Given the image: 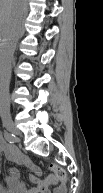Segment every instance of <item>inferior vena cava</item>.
Segmentation results:
<instances>
[{"label":"inferior vena cava","instance_id":"1","mask_svg":"<svg viewBox=\"0 0 103 193\" xmlns=\"http://www.w3.org/2000/svg\"><path fill=\"white\" fill-rule=\"evenodd\" d=\"M20 34V16L15 15L7 36L0 47V114L2 118H10L9 83L11 78V63Z\"/></svg>","mask_w":103,"mask_h":193}]
</instances>
